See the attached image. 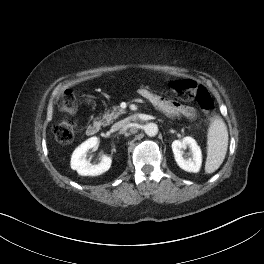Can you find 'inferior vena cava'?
<instances>
[{
  "mask_svg": "<svg viewBox=\"0 0 264 264\" xmlns=\"http://www.w3.org/2000/svg\"><path fill=\"white\" fill-rule=\"evenodd\" d=\"M124 123H125V121L118 122V123L114 124L112 126L111 130L112 131H117V130L121 129Z\"/></svg>",
  "mask_w": 264,
  "mask_h": 264,
  "instance_id": "obj_1",
  "label": "inferior vena cava"
}]
</instances>
